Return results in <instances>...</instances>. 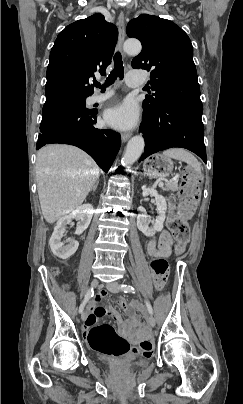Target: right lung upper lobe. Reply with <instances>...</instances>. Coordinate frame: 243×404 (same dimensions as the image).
<instances>
[{"mask_svg": "<svg viewBox=\"0 0 243 404\" xmlns=\"http://www.w3.org/2000/svg\"><path fill=\"white\" fill-rule=\"evenodd\" d=\"M117 37L116 26L108 23L102 14L68 25L50 52L45 104L92 95L89 79L94 78L95 72L105 74Z\"/></svg>", "mask_w": 243, "mask_h": 404, "instance_id": "1", "label": "right lung upper lobe"}]
</instances>
